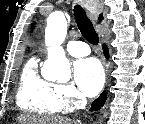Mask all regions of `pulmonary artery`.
Listing matches in <instances>:
<instances>
[{
    "mask_svg": "<svg viewBox=\"0 0 145 124\" xmlns=\"http://www.w3.org/2000/svg\"><path fill=\"white\" fill-rule=\"evenodd\" d=\"M66 50L74 57H83L90 53L88 45L81 41H70L66 45Z\"/></svg>",
    "mask_w": 145,
    "mask_h": 124,
    "instance_id": "e3ab8cb5",
    "label": "pulmonary artery"
}]
</instances>
